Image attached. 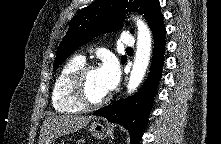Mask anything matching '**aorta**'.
<instances>
[{
  "label": "aorta",
  "mask_w": 221,
  "mask_h": 144,
  "mask_svg": "<svg viewBox=\"0 0 221 144\" xmlns=\"http://www.w3.org/2000/svg\"><path fill=\"white\" fill-rule=\"evenodd\" d=\"M136 24L138 30L137 49L127 85L128 93L133 92L140 85L146 73L151 54V32L149 28L140 19L136 20Z\"/></svg>",
  "instance_id": "aorta-1"
}]
</instances>
